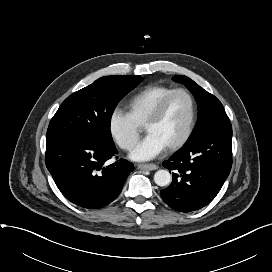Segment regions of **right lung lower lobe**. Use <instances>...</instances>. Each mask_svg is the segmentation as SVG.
Wrapping results in <instances>:
<instances>
[{
    "instance_id": "98d812e1",
    "label": "right lung lower lobe",
    "mask_w": 272,
    "mask_h": 272,
    "mask_svg": "<svg viewBox=\"0 0 272 272\" xmlns=\"http://www.w3.org/2000/svg\"><path fill=\"white\" fill-rule=\"evenodd\" d=\"M117 153L115 145L82 135L46 144L45 163L68 200L83 208L98 209L119 195L134 170L124 159L105 166Z\"/></svg>"
}]
</instances>
